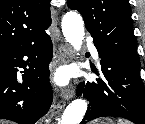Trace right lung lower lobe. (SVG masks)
Segmentation results:
<instances>
[{
	"instance_id": "right-lung-lower-lobe-1",
	"label": "right lung lower lobe",
	"mask_w": 145,
	"mask_h": 124,
	"mask_svg": "<svg viewBox=\"0 0 145 124\" xmlns=\"http://www.w3.org/2000/svg\"><path fill=\"white\" fill-rule=\"evenodd\" d=\"M52 55L47 34L33 43L0 48V119L34 124L47 112L53 100L48 80ZM17 67L24 69L22 82Z\"/></svg>"
}]
</instances>
